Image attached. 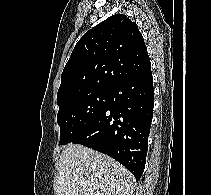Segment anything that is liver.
Returning <instances> with one entry per match:
<instances>
[{"instance_id": "liver-1", "label": "liver", "mask_w": 211, "mask_h": 195, "mask_svg": "<svg viewBox=\"0 0 211 195\" xmlns=\"http://www.w3.org/2000/svg\"><path fill=\"white\" fill-rule=\"evenodd\" d=\"M134 177L113 158L79 144L61 152L56 195H132Z\"/></svg>"}]
</instances>
